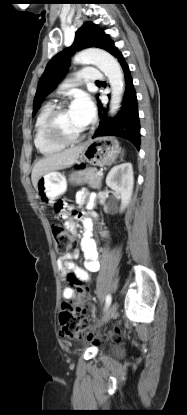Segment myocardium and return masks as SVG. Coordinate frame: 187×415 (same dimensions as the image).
Masks as SVG:
<instances>
[{
	"label": "myocardium",
	"instance_id": "1",
	"mask_svg": "<svg viewBox=\"0 0 187 415\" xmlns=\"http://www.w3.org/2000/svg\"><path fill=\"white\" fill-rule=\"evenodd\" d=\"M67 108H68V105L66 102H61L57 104L55 107H53V109L48 114L46 121H45V125H44L45 134L47 138L54 143L64 145V146L78 143L85 136V131H86V128H85L81 133L73 137H68L64 135L63 133H61L58 127V120L61 114Z\"/></svg>",
	"mask_w": 187,
	"mask_h": 415
}]
</instances>
